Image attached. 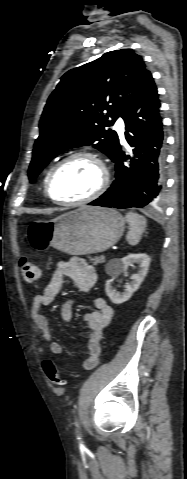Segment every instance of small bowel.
I'll return each mask as SVG.
<instances>
[{"label": "small bowel", "instance_id": "obj_1", "mask_svg": "<svg viewBox=\"0 0 187 479\" xmlns=\"http://www.w3.org/2000/svg\"><path fill=\"white\" fill-rule=\"evenodd\" d=\"M66 278L71 279L80 292L87 293L95 285L97 276L93 266L84 259L73 257L61 260L56 264L49 283L42 292L34 297L30 307V316L53 354L62 353L63 347L59 342L53 340L48 320L42 313V307L55 301ZM73 305L74 299L68 298L61 307V318L67 323H70L73 319ZM94 306L95 310L84 317L89 349V357L83 363L85 370H92L97 366L101 353L102 334L114 314L112 307L102 297L95 298ZM38 352L40 355L45 354L42 346H39Z\"/></svg>", "mask_w": 187, "mask_h": 479}]
</instances>
